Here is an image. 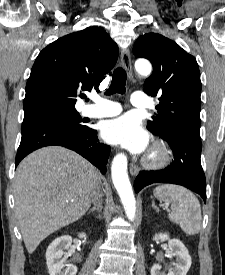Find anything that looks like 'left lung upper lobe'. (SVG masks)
Masks as SVG:
<instances>
[{
    "label": "left lung upper lobe",
    "mask_w": 225,
    "mask_h": 275,
    "mask_svg": "<svg viewBox=\"0 0 225 275\" xmlns=\"http://www.w3.org/2000/svg\"><path fill=\"white\" fill-rule=\"evenodd\" d=\"M134 54L153 64L144 92L158 96L157 116L147 128L162 139L176 135L200 137L201 81L196 59L174 41L156 33L139 37Z\"/></svg>",
    "instance_id": "left-lung-upper-lobe-1"
}]
</instances>
